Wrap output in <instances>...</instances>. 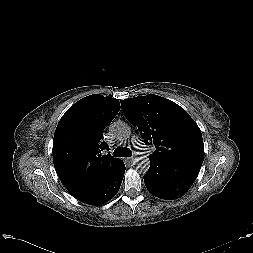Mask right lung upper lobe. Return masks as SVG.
Returning a JSON list of instances; mask_svg holds the SVG:
<instances>
[{"label":"right lung upper lobe","instance_id":"1","mask_svg":"<svg viewBox=\"0 0 253 253\" xmlns=\"http://www.w3.org/2000/svg\"><path fill=\"white\" fill-rule=\"evenodd\" d=\"M120 110L117 99L93 94L72 105L60 119L53 139L55 170L66 189L79 197L107 180L122 160L103 155V132Z\"/></svg>","mask_w":253,"mask_h":253}]
</instances>
